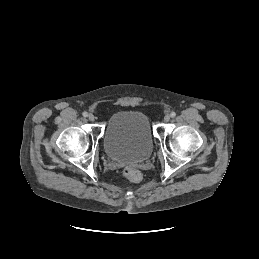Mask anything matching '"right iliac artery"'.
I'll return each instance as SVG.
<instances>
[{
    "instance_id": "1",
    "label": "right iliac artery",
    "mask_w": 259,
    "mask_h": 259,
    "mask_svg": "<svg viewBox=\"0 0 259 259\" xmlns=\"http://www.w3.org/2000/svg\"><path fill=\"white\" fill-rule=\"evenodd\" d=\"M84 117H87L88 116V113L87 112H83L82 114Z\"/></svg>"
}]
</instances>
